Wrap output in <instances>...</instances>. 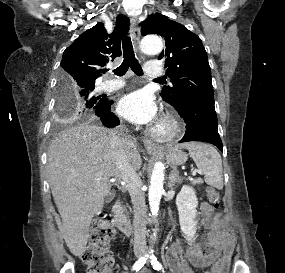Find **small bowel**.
Wrapping results in <instances>:
<instances>
[{"mask_svg": "<svg viewBox=\"0 0 285 273\" xmlns=\"http://www.w3.org/2000/svg\"><path fill=\"white\" fill-rule=\"evenodd\" d=\"M203 215L202 225L208 230L204 244L193 243L184 247L182 243H175L167 254L170 267L169 273H182L179 255L184 252L187 259L195 267L212 266L213 273H226L233 248L234 239L226 234L227 224L207 202L200 204ZM141 273H150L142 270Z\"/></svg>", "mask_w": 285, "mask_h": 273, "instance_id": "c3829d8e", "label": "small bowel"}]
</instances>
